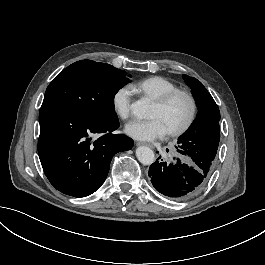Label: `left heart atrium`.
Masks as SVG:
<instances>
[{"instance_id": "left-heart-atrium-1", "label": "left heart atrium", "mask_w": 265, "mask_h": 265, "mask_svg": "<svg viewBox=\"0 0 265 265\" xmlns=\"http://www.w3.org/2000/svg\"><path fill=\"white\" fill-rule=\"evenodd\" d=\"M128 136L139 141H151L167 133L164 125L157 118L150 120H132L126 127Z\"/></svg>"}]
</instances>
